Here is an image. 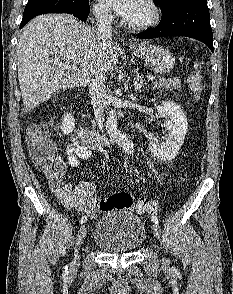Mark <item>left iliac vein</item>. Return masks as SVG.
Listing matches in <instances>:
<instances>
[{
    "mask_svg": "<svg viewBox=\"0 0 233 294\" xmlns=\"http://www.w3.org/2000/svg\"><path fill=\"white\" fill-rule=\"evenodd\" d=\"M152 231H153V234H154V236L158 239V240H161V230H160V228H159V226L157 225V224H153L152 225ZM162 263L164 264V265H167V261L163 258L162 259Z\"/></svg>",
    "mask_w": 233,
    "mask_h": 294,
    "instance_id": "obj_1",
    "label": "left iliac vein"
}]
</instances>
